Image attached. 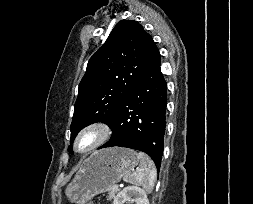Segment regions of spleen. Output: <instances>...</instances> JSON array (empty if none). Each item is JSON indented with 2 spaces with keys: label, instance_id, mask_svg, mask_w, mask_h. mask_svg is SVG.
Returning <instances> with one entry per match:
<instances>
[{
  "label": "spleen",
  "instance_id": "1",
  "mask_svg": "<svg viewBox=\"0 0 253 204\" xmlns=\"http://www.w3.org/2000/svg\"><path fill=\"white\" fill-rule=\"evenodd\" d=\"M138 158L139 167H137V170L125 174L123 180L130 184L141 186L146 191L151 192L157 177L156 167L154 162L145 153L140 152Z\"/></svg>",
  "mask_w": 253,
  "mask_h": 204
}]
</instances>
